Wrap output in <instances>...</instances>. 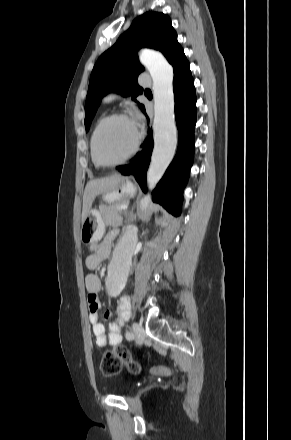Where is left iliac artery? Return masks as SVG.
Segmentation results:
<instances>
[{
	"instance_id": "44dca946",
	"label": "left iliac artery",
	"mask_w": 291,
	"mask_h": 440,
	"mask_svg": "<svg viewBox=\"0 0 291 440\" xmlns=\"http://www.w3.org/2000/svg\"><path fill=\"white\" fill-rule=\"evenodd\" d=\"M126 338L128 339V340H131V339H133L134 338V336H133V334L132 333H130V332H126Z\"/></svg>"
}]
</instances>
